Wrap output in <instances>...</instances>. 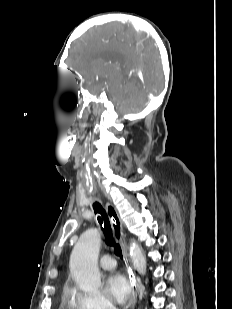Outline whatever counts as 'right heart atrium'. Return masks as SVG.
Wrapping results in <instances>:
<instances>
[{"instance_id":"1","label":"right heart atrium","mask_w":232,"mask_h":309,"mask_svg":"<svg viewBox=\"0 0 232 309\" xmlns=\"http://www.w3.org/2000/svg\"><path fill=\"white\" fill-rule=\"evenodd\" d=\"M67 293L76 309H116L109 297L99 291L84 293L69 288Z\"/></svg>"}]
</instances>
